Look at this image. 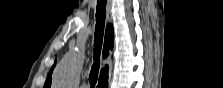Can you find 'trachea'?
Returning a JSON list of instances; mask_svg holds the SVG:
<instances>
[{
	"label": "trachea",
	"mask_w": 223,
	"mask_h": 88,
	"mask_svg": "<svg viewBox=\"0 0 223 88\" xmlns=\"http://www.w3.org/2000/svg\"><path fill=\"white\" fill-rule=\"evenodd\" d=\"M106 16V0H98L96 9V26L94 35V64L89 75V83L92 88L96 85L98 79L100 53L103 43V34Z\"/></svg>",
	"instance_id": "3493384b"
}]
</instances>
